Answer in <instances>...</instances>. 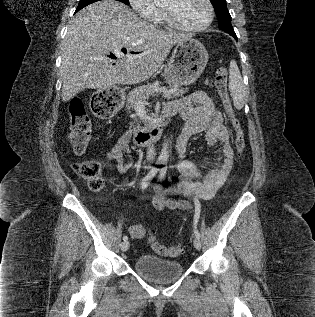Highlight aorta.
Masks as SVG:
<instances>
[{
	"label": "aorta",
	"instance_id": "obj_1",
	"mask_svg": "<svg viewBox=\"0 0 315 317\" xmlns=\"http://www.w3.org/2000/svg\"><path fill=\"white\" fill-rule=\"evenodd\" d=\"M154 1L158 2L160 0H154ZM168 148H169L168 142L163 143L162 149H161V152H160V156H159V160H161V161H167L168 160V158H169Z\"/></svg>",
	"mask_w": 315,
	"mask_h": 317
}]
</instances>
